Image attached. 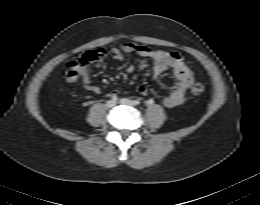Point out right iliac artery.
Instances as JSON below:
<instances>
[{"instance_id": "obj_1", "label": "right iliac artery", "mask_w": 260, "mask_h": 205, "mask_svg": "<svg viewBox=\"0 0 260 205\" xmlns=\"http://www.w3.org/2000/svg\"><path fill=\"white\" fill-rule=\"evenodd\" d=\"M111 99H112V101L115 102V101H117L118 97L116 95H113Z\"/></svg>"}]
</instances>
